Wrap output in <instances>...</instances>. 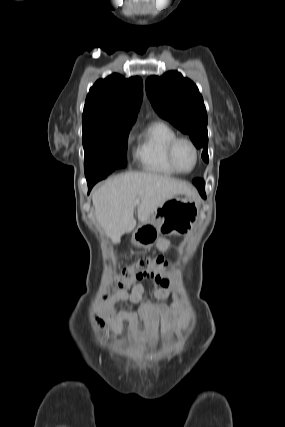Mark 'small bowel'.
<instances>
[{"label": "small bowel", "mask_w": 285, "mask_h": 427, "mask_svg": "<svg viewBox=\"0 0 285 427\" xmlns=\"http://www.w3.org/2000/svg\"><path fill=\"white\" fill-rule=\"evenodd\" d=\"M169 242L165 239L158 241V248L160 251L166 252L169 249ZM154 296L157 299H163L168 296L169 292L167 289L160 287L156 282H153ZM144 292V285L142 283L134 284L130 294L123 293L119 296V301L129 300L134 304H140L138 315H132L129 318L130 322V335L131 338H135L138 334V322H143V331L141 335L142 343L145 346H152L157 343L159 338V313L164 312L162 306H155L149 302H142V294ZM114 316V317H113ZM110 325L114 331H120L121 329V315L117 314L114 309L108 315ZM162 329L164 332H168L169 326L167 319L162 321Z\"/></svg>", "instance_id": "obj_1"}]
</instances>
